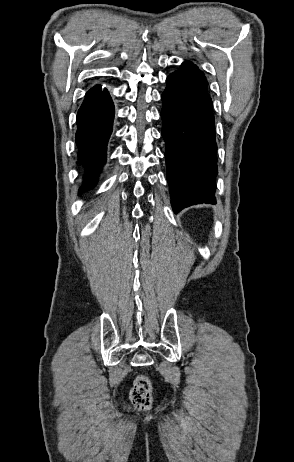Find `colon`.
<instances>
[{
  "mask_svg": "<svg viewBox=\"0 0 294 462\" xmlns=\"http://www.w3.org/2000/svg\"><path fill=\"white\" fill-rule=\"evenodd\" d=\"M133 404L138 408H147L151 403V383L145 376H138L130 393Z\"/></svg>",
  "mask_w": 294,
  "mask_h": 462,
  "instance_id": "obj_1",
  "label": "colon"
}]
</instances>
